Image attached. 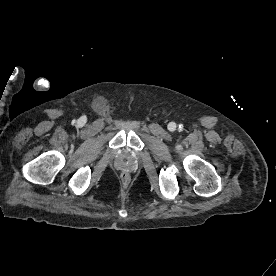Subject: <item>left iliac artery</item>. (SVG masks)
Here are the masks:
<instances>
[{
    "label": "left iliac artery",
    "instance_id": "left-iliac-artery-1",
    "mask_svg": "<svg viewBox=\"0 0 276 276\" xmlns=\"http://www.w3.org/2000/svg\"><path fill=\"white\" fill-rule=\"evenodd\" d=\"M182 127H181V125H179V129H181Z\"/></svg>",
    "mask_w": 276,
    "mask_h": 276
}]
</instances>
